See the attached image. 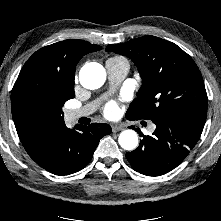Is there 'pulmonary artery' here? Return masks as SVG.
I'll return each instance as SVG.
<instances>
[{
    "mask_svg": "<svg viewBox=\"0 0 221 221\" xmlns=\"http://www.w3.org/2000/svg\"><path fill=\"white\" fill-rule=\"evenodd\" d=\"M105 67L108 74V79L111 87L116 88L122 80L126 77L129 71V63L126 59L121 57L109 58ZM95 108V104L86 105L80 109L71 110L67 113V119L69 121H75L81 117L89 115ZM154 125L151 126V130H154Z\"/></svg>",
    "mask_w": 221,
    "mask_h": 221,
    "instance_id": "e3ab8cb5",
    "label": "pulmonary artery"
}]
</instances>
